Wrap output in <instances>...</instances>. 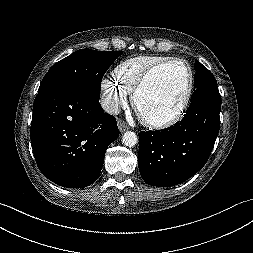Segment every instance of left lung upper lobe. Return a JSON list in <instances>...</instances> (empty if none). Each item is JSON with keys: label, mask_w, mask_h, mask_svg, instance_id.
I'll return each instance as SVG.
<instances>
[{"label": "left lung upper lobe", "mask_w": 253, "mask_h": 253, "mask_svg": "<svg viewBox=\"0 0 253 253\" xmlns=\"http://www.w3.org/2000/svg\"><path fill=\"white\" fill-rule=\"evenodd\" d=\"M195 70L192 104L202 99L221 100L214 75L198 60L195 61Z\"/></svg>", "instance_id": "1"}]
</instances>
